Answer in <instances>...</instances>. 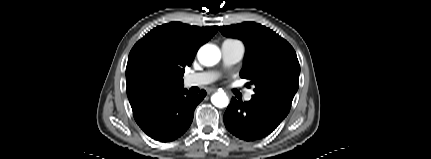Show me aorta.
<instances>
[{
	"mask_svg": "<svg viewBox=\"0 0 431 159\" xmlns=\"http://www.w3.org/2000/svg\"><path fill=\"white\" fill-rule=\"evenodd\" d=\"M221 58L220 50L214 45H204L198 51V59L205 66H213L219 62ZM211 102L218 108H224L228 105L229 100L224 92H216L211 97Z\"/></svg>",
	"mask_w": 431,
	"mask_h": 159,
	"instance_id": "762f6f07",
	"label": "aorta"
}]
</instances>
